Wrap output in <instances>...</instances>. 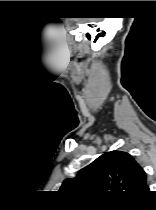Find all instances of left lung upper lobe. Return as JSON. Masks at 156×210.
Segmentation results:
<instances>
[{
	"mask_svg": "<svg viewBox=\"0 0 156 210\" xmlns=\"http://www.w3.org/2000/svg\"><path fill=\"white\" fill-rule=\"evenodd\" d=\"M99 192L142 195L149 191L146 173L127 152L110 151L81 169L75 178L66 179L63 193Z\"/></svg>",
	"mask_w": 156,
	"mask_h": 210,
	"instance_id": "1",
	"label": "left lung upper lobe"
}]
</instances>
